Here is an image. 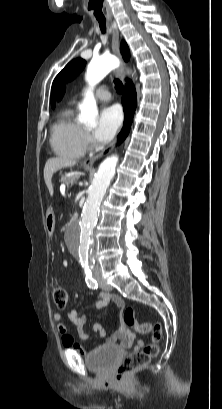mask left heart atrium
Listing matches in <instances>:
<instances>
[{
    "instance_id": "left-heart-atrium-1",
    "label": "left heart atrium",
    "mask_w": 222,
    "mask_h": 409,
    "mask_svg": "<svg viewBox=\"0 0 222 409\" xmlns=\"http://www.w3.org/2000/svg\"><path fill=\"white\" fill-rule=\"evenodd\" d=\"M122 121V114L117 106L104 108L99 116L97 127L94 130V139L104 144L109 142L116 134Z\"/></svg>"
}]
</instances>
